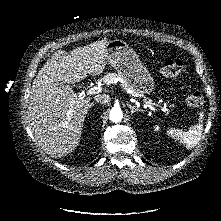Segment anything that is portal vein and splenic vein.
<instances>
[{"instance_id": "1", "label": "portal vein and splenic vein", "mask_w": 221, "mask_h": 221, "mask_svg": "<svg viewBox=\"0 0 221 221\" xmlns=\"http://www.w3.org/2000/svg\"><path fill=\"white\" fill-rule=\"evenodd\" d=\"M101 90H102V88L99 87V86L92 87V88H90V89L87 91V95L96 94V93L100 92ZM143 102L146 104L147 107H149V108L152 109L153 111H156V110H157V109L153 106V104H150V103L147 102V101H143ZM156 106H157V105H156ZM160 110H161V111H164V112L168 111V109H167L166 107H162V108H160Z\"/></svg>"}]
</instances>
